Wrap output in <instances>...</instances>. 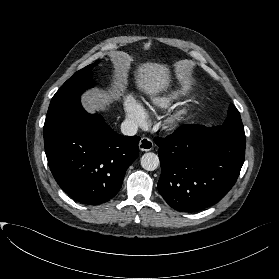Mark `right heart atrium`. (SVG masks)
Returning a JSON list of instances; mask_svg holds the SVG:
<instances>
[{
  "instance_id": "1",
  "label": "right heart atrium",
  "mask_w": 279,
  "mask_h": 279,
  "mask_svg": "<svg viewBox=\"0 0 279 279\" xmlns=\"http://www.w3.org/2000/svg\"><path fill=\"white\" fill-rule=\"evenodd\" d=\"M124 110L127 120L135 127H144L148 114L145 107L132 96L125 99Z\"/></svg>"
}]
</instances>
